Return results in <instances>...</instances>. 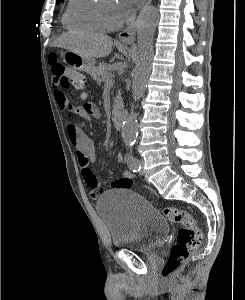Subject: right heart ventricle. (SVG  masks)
Listing matches in <instances>:
<instances>
[{
    "label": "right heart ventricle",
    "instance_id": "e07e8e85",
    "mask_svg": "<svg viewBox=\"0 0 245 300\" xmlns=\"http://www.w3.org/2000/svg\"><path fill=\"white\" fill-rule=\"evenodd\" d=\"M97 0H69L63 21L67 29L98 32L103 29L98 16Z\"/></svg>",
    "mask_w": 245,
    "mask_h": 300
}]
</instances>
